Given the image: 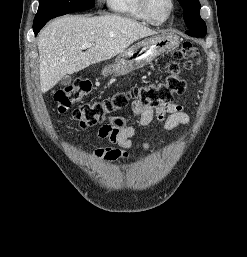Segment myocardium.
I'll return each instance as SVG.
<instances>
[{"label": "myocardium", "mask_w": 247, "mask_h": 257, "mask_svg": "<svg viewBox=\"0 0 247 257\" xmlns=\"http://www.w3.org/2000/svg\"><path fill=\"white\" fill-rule=\"evenodd\" d=\"M141 1V7L146 15L147 19L149 20L150 23L155 24V25H162L166 23L174 14L176 5L174 0H168L170 4V9L168 14L163 17V18H157L152 10V0H140Z\"/></svg>", "instance_id": "1"}]
</instances>
